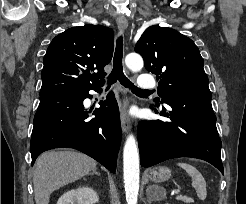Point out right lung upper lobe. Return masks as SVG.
Segmentation results:
<instances>
[{
    "label": "right lung upper lobe",
    "instance_id": "obj_1",
    "mask_svg": "<svg viewBox=\"0 0 246 204\" xmlns=\"http://www.w3.org/2000/svg\"><path fill=\"white\" fill-rule=\"evenodd\" d=\"M113 30L84 25L67 29L50 43L44 57L40 95L101 86L113 54ZM98 70L91 74L90 71Z\"/></svg>",
    "mask_w": 246,
    "mask_h": 204
}]
</instances>
